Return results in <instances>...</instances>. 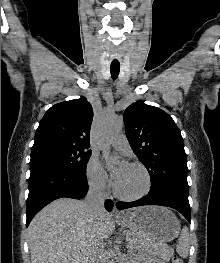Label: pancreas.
<instances>
[{"mask_svg": "<svg viewBox=\"0 0 220 263\" xmlns=\"http://www.w3.org/2000/svg\"><path fill=\"white\" fill-rule=\"evenodd\" d=\"M126 236L131 246L137 243L136 235L133 232L127 231ZM151 250H153L156 256H158L163 260H170L171 256L173 255V250L168 246H166L165 244H161V243L152 244Z\"/></svg>", "mask_w": 220, "mask_h": 263, "instance_id": "obj_1", "label": "pancreas"}]
</instances>
